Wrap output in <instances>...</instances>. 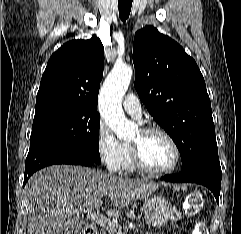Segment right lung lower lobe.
<instances>
[{"instance_id": "obj_1", "label": "right lung lower lobe", "mask_w": 241, "mask_h": 234, "mask_svg": "<svg viewBox=\"0 0 241 234\" xmlns=\"http://www.w3.org/2000/svg\"><path fill=\"white\" fill-rule=\"evenodd\" d=\"M53 164L91 166L95 162L87 155L65 144L50 143L32 148L29 150L25 162L23 186L35 171Z\"/></svg>"}]
</instances>
